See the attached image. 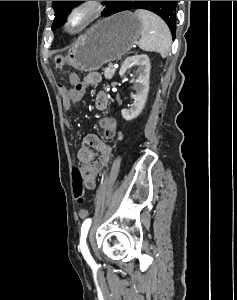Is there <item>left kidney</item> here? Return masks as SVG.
Here are the masks:
<instances>
[{
    "mask_svg": "<svg viewBox=\"0 0 237 300\" xmlns=\"http://www.w3.org/2000/svg\"><path fill=\"white\" fill-rule=\"evenodd\" d=\"M134 65H138L137 73L139 77L134 79V81H131V83H134L133 89L135 91L133 105H131L130 109H122L121 111L122 117L123 119H126V121H132V119H136V117L142 113L149 91L151 65L150 59L147 55H134V57H127L119 71V75L123 77L126 71H129V69L134 67Z\"/></svg>",
    "mask_w": 237,
    "mask_h": 300,
    "instance_id": "left-kidney-1",
    "label": "left kidney"
}]
</instances>
